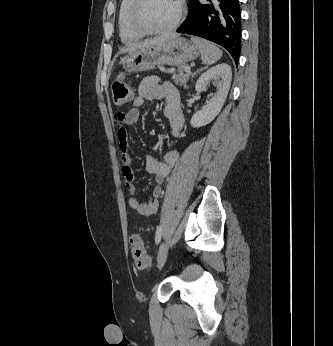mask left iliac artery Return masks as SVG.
<instances>
[{"mask_svg": "<svg viewBox=\"0 0 333 346\" xmlns=\"http://www.w3.org/2000/svg\"><path fill=\"white\" fill-rule=\"evenodd\" d=\"M161 235H162V227L158 226L157 231H156V236H155L156 244H158L160 242Z\"/></svg>", "mask_w": 333, "mask_h": 346, "instance_id": "obj_1", "label": "left iliac artery"}]
</instances>
